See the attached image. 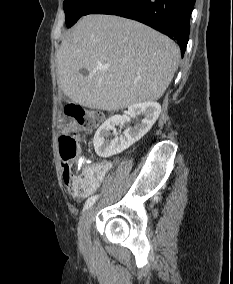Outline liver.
<instances>
[{
    "instance_id": "6515ba94",
    "label": "liver",
    "mask_w": 233,
    "mask_h": 284,
    "mask_svg": "<svg viewBox=\"0 0 233 284\" xmlns=\"http://www.w3.org/2000/svg\"><path fill=\"white\" fill-rule=\"evenodd\" d=\"M179 60V47L142 23L87 15L62 40L57 74L62 92L73 102L111 112L158 100ZM80 69L89 74L82 75Z\"/></svg>"
}]
</instances>
